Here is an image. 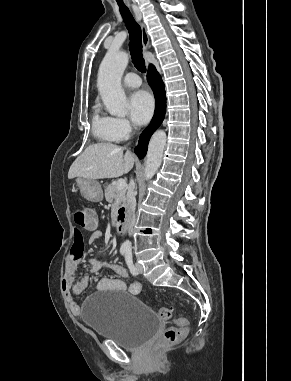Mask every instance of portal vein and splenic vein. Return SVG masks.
<instances>
[{"mask_svg": "<svg viewBox=\"0 0 291 381\" xmlns=\"http://www.w3.org/2000/svg\"><path fill=\"white\" fill-rule=\"evenodd\" d=\"M126 181L124 180V179H118V181H117V183H116V187H117V189H119V190H123V189H125V187H126Z\"/></svg>", "mask_w": 291, "mask_h": 381, "instance_id": "obj_1", "label": "portal vein and splenic vein"}]
</instances>
